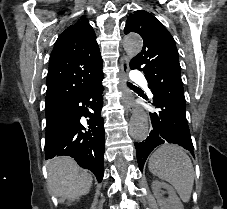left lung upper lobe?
Returning a JSON list of instances; mask_svg holds the SVG:
<instances>
[{
	"mask_svg": "<svg viewBox=\"0 0 227 209\" xmlns=\"http://www.w3.org/2000/svg\"><path fill=\"white\" fill-rule=\"evenodd\" d=\"M130 32L138 33L144 42L142 51L130 61V68L144 72L154 98L170 99L186 108L178 51L172 35L158 19L143 10L129 15L124 33Z\"/></svg>",
	"mask_w": 227,
	"mask_h": 209,
	"instance_id": "5c2ea615",
	"label": "left lung upper lobe"
}]
</instances>
